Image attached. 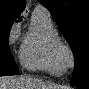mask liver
<instances>
[{
  "mask_svg": "<svg viewBox=\"0 0 89 89\" xmlns=\"http://www.w3.org/2000/svg\"><path fill=\"white\" fill-rule=\"evenodd\" d=\"M1 89H55L48 88L40 81L27 77H3L0 80Z\"/></svg>",
  "mask_w": 89,
  "mask_h": 89,
  "instance_id": "1",
  "label": "liver"
}]
</instances>
